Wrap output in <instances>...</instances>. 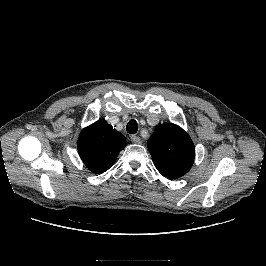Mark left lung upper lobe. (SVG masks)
I'll use <instances>...</instances> for the list:
<instances>
[{
    "mask_svg": "<svg viewBox=\"0 0 266 266\" xmlns=\"http://www.w3.org/2000/svg\"><path fill=\"white\" fill-rule=\"evenodd\" d=\"M147 146L157 170L165 177L178 179L193 165L195 147L189 135L178 125L156 126Z\"/></svg>",
    "mask_w": 266,
    "mask_h": 266,
    "instance_id": "1",
    "label": "left lung upper lobe"
}]
</instances>
